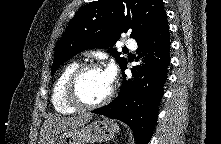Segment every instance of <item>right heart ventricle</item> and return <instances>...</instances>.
I'll list each match as a JSON object with an SVG mask.
<instances>
[{
    "instance_id": "1",
    "label": "right heart ventricle",
    "mask_w": 221,
    "mask_h": 144,
    "mask_svg": "<svg viewBox=\"0 0 221 144\" xmlns=\"http://www.w3.org/2000/svg\"><path fill=\"white\" fill-rule=\"evenodd\" d=\"M79 62L72 61L68 63L57 77L52 90V104L54 109L61 114H72L76 108L69 105L65 99V84L70 74L77 68Z\"/></svg>"
}]
</instances>
